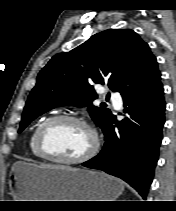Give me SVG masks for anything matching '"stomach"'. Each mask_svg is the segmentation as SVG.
Returning a JSON list of instances; mask_svg holds the SVG:
<instances>
[{
    "label": "stomach",
    "mask_w": 176,
    "mask_h": 211,
    "mask_svg": "<svg viewBox=\"0 0 176 211\" xmlns=\"http://www.w3.org/2000/svg\"><path fill=\"white\" fill-rule=\"evenodd\" d=\"M9 188L15 201H115L123 183L103 172L16 162Z\"/></svg>",
    "instance_id": "obj_1"
}]
</instances>
